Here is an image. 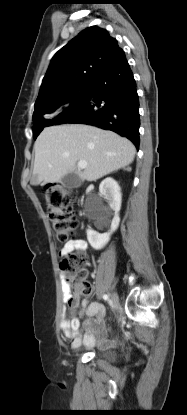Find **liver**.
<instances>
[{"mask_svg":"<svg viewBox=\"0 0 187 415\" xmlns=\"http://www.w3.org/2000/svg\"><path fill=\"white\" fill-rule=\"evenodd\" d=\"M35 162L31 185L59 182L87 162L77 173L81 180L96 181L132 163L136 149L131 141L97 127L65 124L45 128L34 144Z\"/></svg>","mask_w":187,"mask_h":415,"instance_id":"6515ba94","label":"liver"}]
</instances>
